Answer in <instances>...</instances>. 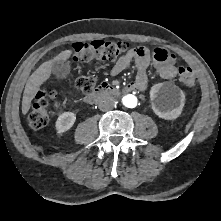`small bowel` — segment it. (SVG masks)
Masks as SVG:
<instances>
[{
	"label": "small bowel",
	"instance_id": "1",
	"mask_svg": "<svg viewBox=\"0 0 221 221\" xmlns=\"http://www.w3.org/2000/svg\"><path fill=\"white\" fill-rule=\"evenodd\" d=\"M151 60H153L161 78L169 80L176 76L177 67L175 65L176 57L174 54H171L161 47L155 48L151 54L149 49L144 46L130 49L116 62L110 71V75L114 77L120 74L129 67L132 61H134L137 67V74L129 86H131L133 90L140 92L145 91L148 85L146 70Z\"/></svg>",
	"mask_w": 221,
	"mask_h": 221
}]
</instances>
